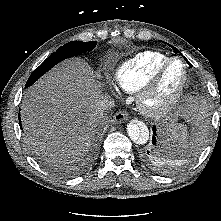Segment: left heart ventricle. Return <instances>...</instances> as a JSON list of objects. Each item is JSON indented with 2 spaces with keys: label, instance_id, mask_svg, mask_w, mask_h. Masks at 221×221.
I'll return each instance as SVG.
<instances>
[{
  "label": "left heart ventricle",
  "instance_id": "obj_1",
  "mask_svg": "<svg viewBox=\"0 0 221 221\" xmlns=\"http://www.w3.org/2000/svg\"><path fill=\"white\" fill-rule=\"evenodd\" d=\"M183 78V67L176 62L166 72L157 92L151 99V104H160L170 99L178 90Z\"/></svg>",
  "mask_w": 221,
  "mask_h": 221
}]
</instances>
